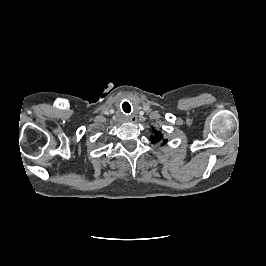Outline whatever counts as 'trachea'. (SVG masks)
<instances>
[{"instance_id": "trachea-1", "label": "trachea", "mask_w": 266, "mask_h": 266, "mask_svg": "<svg viewBox=\"0 0 266 266\" xmlns=\"http://www.w3.org/2000/svg\"><path fill=\"white\" fill-rule=\"evenodd\" d=\"M123 109H124V111H125L126 113H129V112H130V110H131V106L129 105L128 102L123 103Z\"/></svg>"}]
</instances>
